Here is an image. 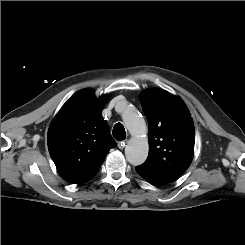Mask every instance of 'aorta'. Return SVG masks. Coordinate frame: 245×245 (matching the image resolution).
Listing matches in <instances>:
<instances>
[{
  "mask_svg": "<svg viewBox=\"0 0 245 245\" xmlns=\"http://www.w3.org/2000/svg\"><path fill=\"white\" fill-rule=\"evenodd\" d=\"M122 119L132 135L125 147L126 159L132 165H140L147 159L149 149L145 120L133 105L127 103L123 104Z\"/></svg>",
  "mask_w": 245,
  "mask_h": 245,
  "instance_id": "aorta-1",
  "label": "aorta"
}]
</instances>
